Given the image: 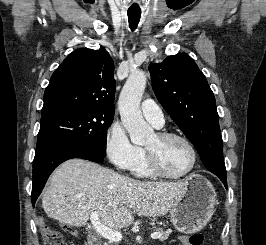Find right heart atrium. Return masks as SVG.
<instances>
[{"label": "right heart atrium", "instance_id": "obj_1", "mask_svg": "<svg viewBox=\"0 0 266 245\" xmlns=\"http://www.w3.org/2000/svg\"><path fill=\"white\" fill-rule=\"evenodd\" d=\"M105 152L108 159L124 170H134L143 157V150L133 144L124 129L117 122L112 123L105 134Z\"/></svg>", "mask_w": 266, "mask_h": 245}]
</instances>
